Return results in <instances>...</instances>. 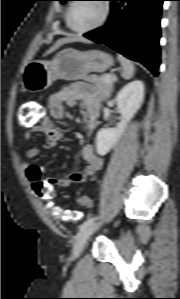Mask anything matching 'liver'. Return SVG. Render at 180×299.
Returning a JSON list of instances; mask_svg holds the SVG:
<instances>
[{
    "instance_id": "1",
    "label": "liver",
    "mask_w": 180,
    "mask_h": 299,
    "mask_svg": "<svg viewBox=\"0 0 180 299\" xmlns=\"http://www.w3.org/2000/svg\"><path fill=\"white\" fill-rule=\"evenodd\" d=\"M80 39L78 37L72 36V35H68L66 37L60 38L56 41V43L46 52V54H50L53 51H55L56 49H58L59 47H61L64 44L67 43H73V42H77Z\"/></svg>"
}]
</instances>
